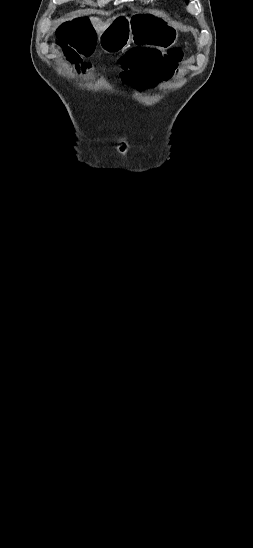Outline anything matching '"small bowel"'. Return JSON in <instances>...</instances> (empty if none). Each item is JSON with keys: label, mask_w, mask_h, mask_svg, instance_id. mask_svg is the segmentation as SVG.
<instances>
[{"label": "small bowel", "mask_w": 253, "mask_h": 548, "mask_svg": "<svg viewBox=\"0 0 253 548\" xmlns=\"http://www.w3.org/2000/svg\"><path fill=\"white\" fill-rule=\"evenodd\" d=\"M173 74H170V76H172ZM138 87V86H137ZM138 88H145V87H138Z\"/></svg>", "instance_id": "obj_1"}]
</instances>
